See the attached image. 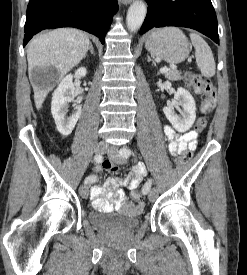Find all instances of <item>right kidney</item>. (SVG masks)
Masks as SVG:
<instances>
[{
    "label": "right kidney",
    "mask_w": 247,
    "mask_h": 275,
    "mask_svg": "<svg viewBox=\"0 0 247 275\" xmlns=\"http://www.w3.org/2000/svg\"><path fill=\"white\" fill-rule=\"evenodd\" d=\"M87 70L80 67L76 70L74 76L85 77ZM75 87L73 84V75L69 74L58 85L53 93L51 102V113L55 120L57 130L63 135L68 136L73 131L80 115L82 106L74 103L72 114L66 117L68 103L75 102Z\"/></svg>",
    "instance_id": "right-kidney-1"
}]
</instances>
